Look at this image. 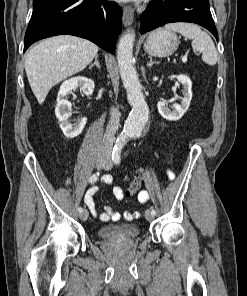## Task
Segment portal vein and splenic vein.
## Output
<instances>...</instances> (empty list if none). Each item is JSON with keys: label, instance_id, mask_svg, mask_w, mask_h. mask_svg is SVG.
I'll list each match as a JSON object with an SVG mask.
<instances>
[{"label": "portal vein and splenic vein", "instance_id": "18ae733b", "mask_svg": "<svg viewBox=\"0 0 247 296\" xmlns=\"http://www.w3.org/2000/svg\"><path fill=\"white\" fill-rule=\"evenodd\" d=\"M186 61H187V56L185 55L182 57V62L185 63Z\"/></svg>", "mask_w": 247, "mask_h": 296}]
</instances>
